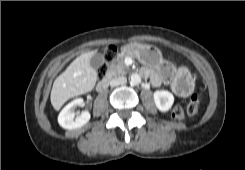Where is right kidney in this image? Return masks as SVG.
Instances as JSON below:
<instances>
[{
	"instance_id": "1",
	"label": "right kidney",
	"mask_w": 245,
	"mask_h": 170,
	"mask_svg": "<svg viewBox=\"0 0 245 170\" xmlns=\"http://www.w3.org/2000/svg\"><path fill=\"white\" fill-rule=\"evenodd\" d=\"M84 106L82 98H77L68 103L60 112L58 116V123L64 129H76L80 128L90 120V113L88 111L81 112L80 115L76 116V107Z\"/></svg>"
}]
</instances>
